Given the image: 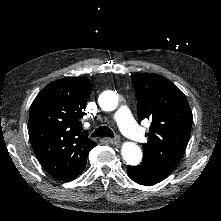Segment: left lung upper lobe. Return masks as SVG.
<instances>
[{
    "instance_id": "left-lung-upper-lobe-1",
    "label": "left lung upper lobe",
    "mask_w": 221,
    "mask_h": 221,
    "mask_svg": "<svg viewBox=\"0 0 221 221\" xmlns=\"http://www.w3.org/2000/svg\"><path fill=\"white\" fill-rule=\"evenodd\" d=\"M140 120L151 119L144 157L152 166L169 174L181 160L187 146L192 112L184 93L170 80L157 74L132 77Z\"/></svg>"
}]
</instances>
